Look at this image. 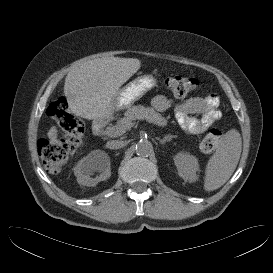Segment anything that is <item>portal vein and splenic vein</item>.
Wrapping results in <instances>:
<instances>
[{
  "mask_svg": "<svg viewBox=\"0 0 273 273\" xmlns=\"http://www.w3.org/2000/svg\"><path fill=\"white\" fill-rule=\"evenodd\" d=\"M127 130L128 127L125 125L121 127L113 126L106 129V134L111 137H117L123 135Z\"/></svg>",
  "mask_w": 273,
  "mask_h": 273,
  "instance_id": "portal-vein-and-splenic-vein-1",
  "label": "portal vein and splenic vein"
}]
</instances>
